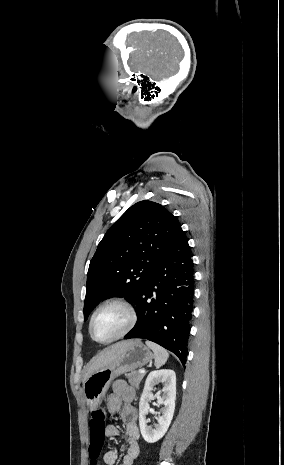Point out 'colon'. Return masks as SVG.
I'll use <instances>...</instances> for the list:
<instances>
[{
  "mask_svg": "<svg viewBox=\"0 0 284 465\" xmlns=\"http://www.w3.org/2000/svg\"><path fill=\"white\" fill-rule=\"evenodd\" d=\"M92 410H95V407H92ZM87 428L91 440L90 446L86 447V454L89 456V461L95 464L100 460L101 448L105 447V440L100 439L106 437L107 422L105 421V414L91 413Z\"/></svg>",
  "mask_w": 284,
  "mask_h": 465,
  "instance_id": "5ec220e1",
  "label": "colon"
}]
</instances>
